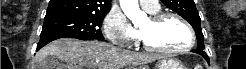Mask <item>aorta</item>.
Listing matches in <instances>:
<instances>
[{"mask_svg": "<svg viewBox=\"0 0 246 69\" xmlns=\"http://www.w3.org/2000/svg\"><path fill=\"white\" fill-rule=\"evenodd\" d=\"M120 6L133 24H137L140 20L147 17V15L140 10L138 0H120Z\"/></svg>", "mask_w": 246, "mask_h": 69, "instance_id": "1", "label": "aorta"}]
</instances>
